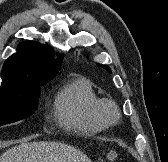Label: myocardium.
I'll return each mask as SVG.
<instances>
[{
  "label": "myocardium",
  "instance_id": "obj_1",
  "mask_svg": "<svg viewBox=\"0 0 168 162\" xmlns=\"http://www.w3.org/2000/svg\"><path fill=\"white\" fill-rule=\"evenodd\" d=\"M98 112L107 124H113L119 118V108L117 104L110 99H101L99 101Z\"/></svg>",
  "mask_w": 168,
  "mask_h": 162
}]
</instances>
